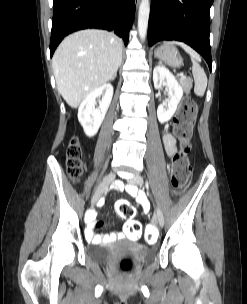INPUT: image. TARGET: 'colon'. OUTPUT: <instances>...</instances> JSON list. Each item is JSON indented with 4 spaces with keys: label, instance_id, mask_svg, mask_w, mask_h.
Instances as JSON below:
<instances>
[{
    "label": "colon",
    "instance_id": "1",
    "mask_svg": "<svg viewBox=\"0 0 247 304\" xmlns=\"http://www.w3.org/2000/svg\"><path fill=\"white\" fill-rule=\"evenodd\" d=\"M197 113V105L190 97H185L173 119L174 133L180 140V150L174 156L171 167V184L175 189H182L188 182L191 167L187 156L189 150V140L192 133L193 124ZM81 148L77 138H72L67 149V172L72 181L77 182L82 174ZM117 212L123 217L129 219L124 234L128 235L132 241H140L142 234L141 222L133 219L135 210L127 201H120L117 204ZM147 237L146 246H155L156 241L153 238H159V224H146ZM132 269L129 259H123L119 265V271L128 273Z\"/></svg>",
    "mask_w": 247,
    "mask_h": 304
}]
</instances>
